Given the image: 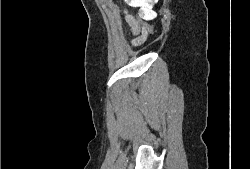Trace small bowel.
Here are the masks:
<instances>
[{
	"label": "small bowel",
	"mask_w": 250,
	"mask_h": 169,
	"mask_svg": "<svg viewBox=\"0 0 250 169\" xmlns=\"http://www.w3.org/2000/svg\"><path fill=\"white\" fill-rule=\"evenodd\" d=\"M127 20L129 22L130 26L132 27L133 32L139 33V31H140L139 24L131 17H127Z\"/></svg>",
	"instance_id": "obj_1"
}]
</instances>
